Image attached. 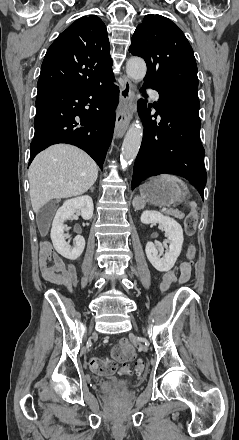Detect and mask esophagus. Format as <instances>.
<instances>
[{
  "label": "esophagus",
  "mask_w": 239,
  "mask_h": 440,
  "mask_svg": "<svg viewBox=\"0 0 239 440\" xmlns=\"http://www.w3.org/2000/svg\"><path fill=\"white\" fill-rule=\"evenodd\" d=\"M123 80L124 85L120 89V98L123 108L117 113L114 129V135L117 138L125 134L133 116L131 107L134 104V86L126 76L123 77Z\"/></svg>",
  "instance_id": "1"
}]
</instances>
